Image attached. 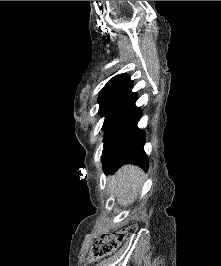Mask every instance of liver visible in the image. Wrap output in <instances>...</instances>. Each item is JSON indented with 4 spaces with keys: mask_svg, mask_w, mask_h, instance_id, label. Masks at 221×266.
<instances>
[{
    "mask_svg": "<svg viewBox=\"0 0 221 266\" xmlns=\"http://www.w3.org/2000/svg\"><path fill=\"white\" fill-rule=\"evenodd\" d=\"M143 171L133 165L123 166L114 176L108 178L109 189L122 206L131 204L141 190Z\"/></svg>",
    "mask_w": 221,
    "mask_h": 266,
    "instance_id": "obj_1",
    "label": "liver"
}]
</instances>
